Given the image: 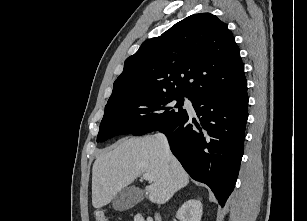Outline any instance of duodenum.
I'll list each match as a JSON object with an SVG mask.
<instances>
[{"mask_svg": "<svg viewBox=\"0 0 307 221\" xmlns=\"http://www.w3.org/2000/svg\"><path fill=\"white\" fill-rule=\"evenodd\" d=\"M151 221H161V217L159 214H155L154 219Z\"/></svg>", "mask_w": 307, "mask_h": 221, "instance_id": "1", "label": "duodenum"}]
</instances>
